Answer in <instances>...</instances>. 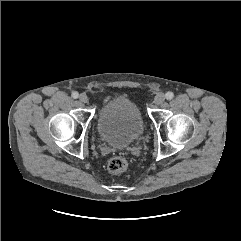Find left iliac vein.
Segmentation results:
<instances>
[{
    "mask_svg": "<svg viewBox=\"0 0 241 241\" xmlns=\"http://www.w3.org/2000/svg\"><path fill=\"white\" fill-rule=\"evenodd\" d=\"M164 101H165V95L162 94V93L158 94V95L155 97V99H154V102H155V104H157V105L162 104Z\"/></svg>",
    "mask_w": 241,
    "mask_h": 241,
    "instance_id": "4c4485c4",
    "label": "left iliac vein"
}]
</instances>
